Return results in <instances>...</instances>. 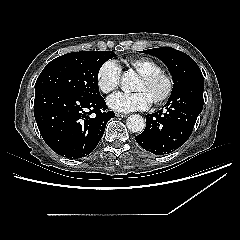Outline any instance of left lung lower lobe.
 <instances>
[{
    "label": "left lung lower lobe",
    "mask_w": 240,
    "mask_h": 240,
    "mask_svg": "<svg viewBox=\"0 0 240 240\" xmlns=\"http://www.w3.org/2000/svg\"><path fill=\"white\" fill-rule=\"evenodd\" d=\"M203 84V80L194 81L173 91L164 109L146 115V128L135 137L136 142L156 155L182 146L203 109Z\"/></svg>",
    "instance_id": "0a47b994"
}]
</instances>
